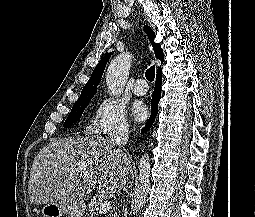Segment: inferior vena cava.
<instances>
[{"label": "inferior vena cava", "instance_id": "602c4592", "mask_svg": "<svg viewBox=\"0 0 255 217\" xmlns=\"http://www.w3.org/2000/svg\"><path fill=\"white\" fill-rule=\"evenodd\" d=\"M128 129L126 127L119 128L111 136L112 146H124L128 142Z\"/></svg>", "mask_w": 255, "mask_h": 217}]
</instances>
